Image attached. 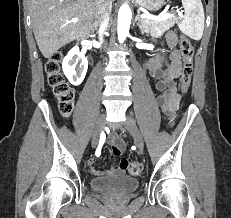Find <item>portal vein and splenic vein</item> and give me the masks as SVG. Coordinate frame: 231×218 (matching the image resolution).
I'll return each instance as SVG.
<instances>
[{"label":"portal vein and splenic vein","instance_id":"obj_1","mask_svg":"<svg viewBox=\"0 0 231 218\" xmlns=\"http://www.w3.org/2000/svg\"><path fill=\"white\" fill-rule=\"evenodd\" d=\"M172 15L171 13H165L159 16H153V15H149V14H142L140 17L143 18H148V19H154V20H165L170 18ZM73 23H77L78 22V18H73L71 20Z\"/></svg>","mask_w":231,"mask_h":218}]
</instances>
